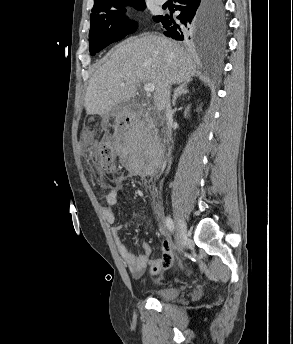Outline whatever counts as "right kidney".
Masks as SVG:
<instances>
[{"mask_svg": "<svg viewBox=\"0 0 293 344\" xmlns=\"http://www.w3.org/2000/svg\"><path fill=\"white\" fill-rule=\"evenodd\" d=\"M188 111H189V106L187 107V109H186L185 112H184V115H185V116L187 115Z\"/></svg>", "mask_w": 293, "mask_h": 344, "instance_id": "ca27d5eb", "label": "right kidney"}]
</instances>
